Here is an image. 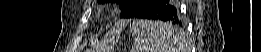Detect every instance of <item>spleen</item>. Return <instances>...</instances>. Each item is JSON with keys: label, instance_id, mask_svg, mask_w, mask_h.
Wrapping results in <instances>:
<instances>
[{"label": "spleen", "instance_id": "3e777b00", "mask_svg": "<svg viewBox=\"0 0 261 52\" xmlns=\"http://www.w3.org/2000/svg\"><path fill=\"white\" fill-rule=\"evenodd\" d=\"M130 31L136 52H175L181 44L179 34L169 35L170 25L160 21H133Z\"/></svg>", "mask_w": 261, "mask_h": 52}]
</instances>
